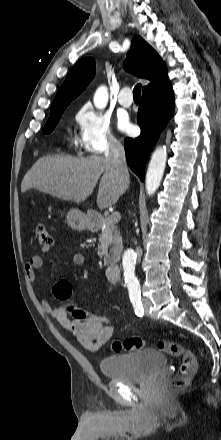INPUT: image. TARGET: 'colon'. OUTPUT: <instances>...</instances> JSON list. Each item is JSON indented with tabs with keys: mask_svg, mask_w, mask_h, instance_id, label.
Wrapping results in <instances>:
<instances>
[{
	"mask_svg": "<svg viewBox=\"0 0 221 440\" xmlns=\"http://www.w3.org/2000/svg\"><path fill=\"white\" fill-rule=\"evenodd\" d=\"M35 239L42 247L50 248L52 246V238L44 224H38L35 227ZM53 293L59 300L63 301L61 306L66 309V319L68 321H77L78 318H84L86 321L104 324L107 328L116 326L117 321L111 315H101L100 312H89V309H83L82 304L77 303L72 297L73 288L69 281H59L53 287ZM145 346L146 342L139 337L127 338L122 341L115 340L111 343L112 350L118 353L142 349ZM156 346L158 350L181 360L179 376L167 385V391L174 392L187 388L197 374V360L194 353L176 342L159 341Z\"/></svg>",
	"mask_w": 221,
	"mask_h": 440,
	"instance_id": "colon-1",
	"label": "colon"
}]
</instances>
